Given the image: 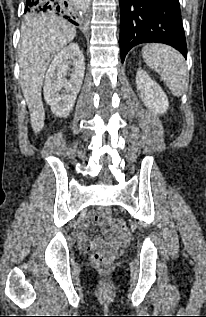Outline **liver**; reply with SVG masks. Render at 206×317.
<instances>
[{
	"label": "liver",
	"instance_id": "obj_1",
	"mask_svg": "<svg viewBox=\"0 0 206 317\" xmlns=\"http://www.w3.org/2000/svg\"><path fill=\"white\" fill-rule=\"evenodd\" d=\"M75 36V26L51 13L38 14L27 20L21 28L18 49L20 80L34 133L44 127L41 91L47 67Z\"/></svg>",
	"mask_w": 206,
	"mask_h": 317
}]
</instances>
